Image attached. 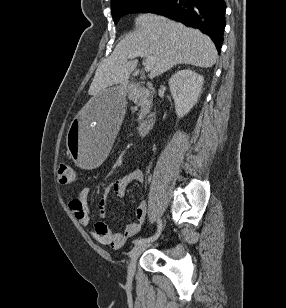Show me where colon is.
Instances as JSON below:
<instances>
[{
    "label": "colon",
    "instance_id": "obj_1",
    "mask_svg": "<svg viewBox=\"0 0 286 308\" xmlns=\"http://www.w3.org/2000/svg\"><path fill=\"white\" fill-rule=\"evenodd\" d=\"M58 182L62 185H72L76 182L75 169L67 164H61L57 170Z\"/></svg>",
    "mask_w": 286,
    "mask_h": 308
}]
</instances>
